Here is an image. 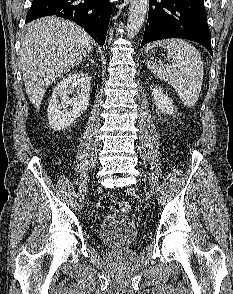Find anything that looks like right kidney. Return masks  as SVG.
<instances>
[{"label":"right kidney","instance_id":"right-kidney-1","mask_svg":"<svg viewBox=\"0 0 233 294\" xmlns=\"http://www.w3.org/2000/svg\"><path fill=\"white\" fill-rule=\"evenodd\" d=\"M90 81L87 73L74 72L57 84L48 107V121L52 129H66L85 112L89 105Z\"/></svg>","mask_w":233,"mask_h":294}]
</instances>
